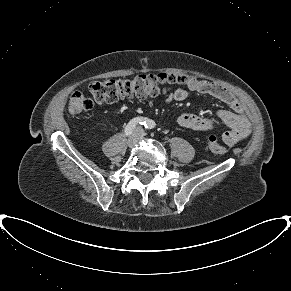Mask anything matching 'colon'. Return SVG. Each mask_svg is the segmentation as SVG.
I'll use <instances>...</instances> for the list:
<instances>
[{
	"instance_id": "colon-1",
	"label": "colon",
	"mask_w": 291,
	"mask_h": 291,
	"mask_svg": "<svg viewBox=\"0 0 291 291\" xmlns=\"http://www.w3.org/2000/svg\"><path fill=\"white\" fill-rule=\"evenodd\" d=\"M192 78L185 75L158 73L139 75L125 79H105L91 83L86 92L99 103H114L127 98L144 99L155 97L172 86H187ZM93 108V101L85 94L76 92L68 102V110L79 114ZM206 149L212 153L224 155L228 149L222 146L214 135L206 140Z\"/></svg>"
}]
</instances>
